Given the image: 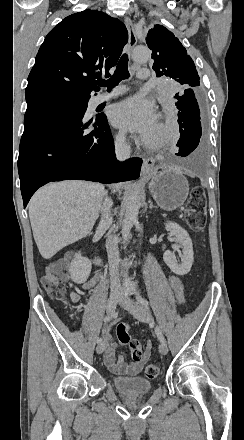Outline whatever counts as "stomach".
I'll return each mask as SVG.
<instances>
[{
  "label": "stomach",
  "mask_w": 244,
  "mask_h": 440,
  "mask_svg": "<svg viewBox=\"0 0 244 440\" xmlns=\"http://www.w3.org/2000/svg\"><path fill=\"white\" fill-rule=\"evenodd\" d=\"M145 176L150 178V194L162 210L171 212L183 206L189 194V184L183 172L174 168H152L150 174Z\"/></svg>",
  "instance_id": "1"
}]
</instances>
